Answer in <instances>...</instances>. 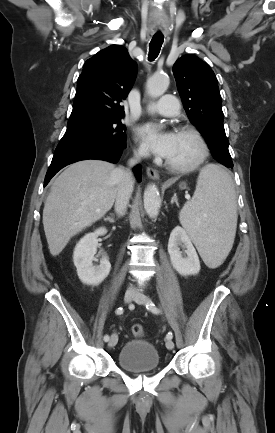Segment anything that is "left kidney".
Segmentation results:
<instances>
[{
    "instance_id": "1",
    "label": "left kidney",
    "mask_w": 275,
    "mask_h": 433,
    "mask_svg": "<svg viewBox=\"0 0 275 433\" xmlns=\"http://www.w3.org/2000/svg\"><path fill=\"white\" fill-rule=\"evenodd\" d=\"M180 247L184 251H180ZM168 253L171 263L176 271L183 275H195L200 271V261L197 252L187 232L180 226H176L169 238Z\"/></svg>"
}]
</instances>
